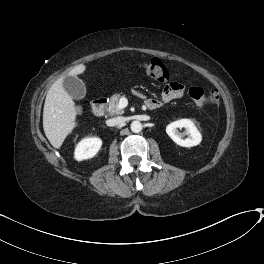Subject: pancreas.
Returning a JSON list of instances; mask_svg holds the SVG:
<instances>
[{
    "label": "pancreas",
    "mask_w": 264,
    "mask_h": 264,
    "mask_svg": "<svg viewBox=\"0 0 264 264\" xmlns=\"http://www.w3.org/2000/svg\"><path fill=\"white\" fill-rule=\"evenodd\" d=\"M123 97H125V95L122 93H116L111 96L107 108L109 115L113 116L123 113V110L118 108L119 100Z\"/></svg>",
    "instance_id": "pancreas-1"
}]
</instances>
